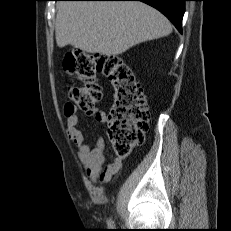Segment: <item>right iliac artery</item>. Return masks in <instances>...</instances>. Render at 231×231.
Masks as SVG:
<instances>
[{
    "instance_id": "1",
    "label": "right iliac artery",
    "mask_w": 231,
    "mask_h": 231,
    "mask_svg": "<svg viewBox=\"0 0 231 231\" xmlns=\"http://www.w3.org/2000/svg\"><path fill=\"white\" fill-rule=\"evenodd\" d=\"M107 224L110 229L114 228V222L112 221V219H109Z\"/></svg>"
}]
</instances>
